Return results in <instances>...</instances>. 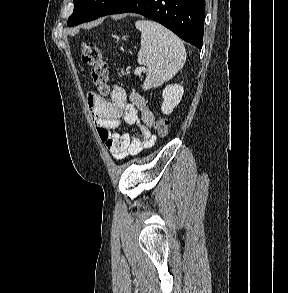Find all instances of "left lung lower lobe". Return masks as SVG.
Segmentation results:
<instances>
[{
    "label": "left lung lower lobe",
    "mask_w": 288,
    "mask_h": 293,
    "mask_svg": "<svg viewBox=\"0 0 288 293\" xmlns=\"http://www.w3.org/2000/svg\"><path fill=\"white\" fill-rule=\"evenodd\" d=\"M127 12L153 19L202 48L205 0H116L100 17Z\"/></svg>",
    "instance_id": "left-lung-lower-lobe-1"
}]
</instances>
